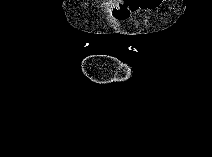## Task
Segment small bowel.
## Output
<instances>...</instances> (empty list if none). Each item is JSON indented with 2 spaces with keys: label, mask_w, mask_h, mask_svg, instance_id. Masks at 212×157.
Here are the masks:
<instances>
[{
  "label": "small bowel",
  "mask_w": 212,
  "mask_h": 157,
  "mask_svg": "<svg viewBox=\"0 0 212 157\" xmlns=\"http://www.w3.org/2000/svg\"><path fill=\"white\" fill-rule=\"evenodd\" d=\"M161 4L162 0H123L113 3L110 8L112 16L119 21H123L141 9L154 10L160 7Z\"/></svg>",
  "instance_id": "1"
}]
</instances>
